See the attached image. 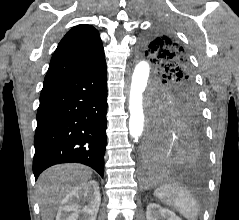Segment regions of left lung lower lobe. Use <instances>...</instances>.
Listing matches in <instances>:
<instances>
[{"instance_id": "left-lung-lower-lobe-1", "label": "left lung lower lobe", "mask_w": 239, "mask_h": 220, "mask_svg": "<svg viewBox=\"0 0 239 220\" xmlns=\"http://www.w3.org/2000/svg\"><path fill=\"white\" fill-rule=\"evenodd\" d=\"M205 159L200 113L164 112L154 108L143 147V168L155 174L174 163L197 164Z\"/></svg>"}]
</instances>
